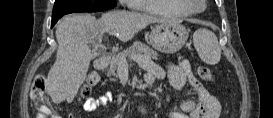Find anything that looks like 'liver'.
<instances>
[{
    "label": "liver",
    "mask_w": 273,
    "mask_h": 118,
    "mask_svg": "<svg viewBox=\"0 0 273 118\" xmlns=\"http://www.w3.org/2000/svg\"><path fill=\"white\" fill-rule=\"evenodd\" d=\"M156 22L170 20L128 11L108 12L100 19L89 14L64 17L56 29V61L45 84L52 101L56 104L73 101L93 59L89 45L95 40L101 41L105 30L114 32L119 40L127 42L140 30Z\"/></svg>",
    "instance_id": "6515ba94"
}]
</instances>
